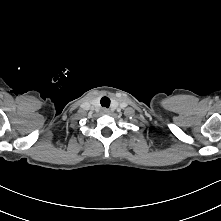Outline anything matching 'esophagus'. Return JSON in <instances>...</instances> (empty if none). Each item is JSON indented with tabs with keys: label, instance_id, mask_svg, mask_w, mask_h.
Returning a JSON list of instances; mask_svg holds the SVG:
<instances>
[{
	"label": "esophagus",
	"instance_id": "34e87169",
	"mask_svg": "<svg viewBox=\"0 0 221 221\" xmlns=\"http://www.w3.org/2000/svg\"><path fill=\"white\" fill-rule=\"evenodd\" d=\"M102 113H103V114H108V113H109V110H108L107 108H103V109H102Z\"/></svg>",
	"mask_w": 221,
	"mask_h": 221
}]
</instances>
